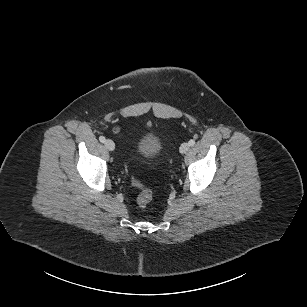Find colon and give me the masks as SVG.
<instances>
[{
	"instance_id": "1",
	"label": "colon",
	"mask_w": 307,
	"mask_h": 307,
	"mask_svg": "<svg viewBox=\"0 0 307 307\" xmlns=\"http://www.w3.org/2000/svg\"><path fill=\"white\" fill-rule=\"evenodd\" d=\"M131 182L134 186L141 188V192L137 197V205L140 208H145L153 199V192L146 188L137 178L134 176L131 178Z\"/></svg>"
}]
</instances>
